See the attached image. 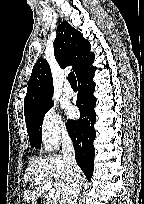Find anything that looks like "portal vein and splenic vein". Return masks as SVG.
I'll return each instance as SVG.
<instances>
[{
	"label": "portal vein and splenic vein",
	"mask_w": 144,
	"mask_h": 204,
	"mask_svg": "<svg viewBox=\"0 0 144 204\" xmlns=\"http://www.w3.org/2000/svg\"><path fill=\"white\" fill-rule=\"evenodd\" d=\"M41 179H42L41 177H37L35 178V182L38 183L40 182ZM44 189L46 191H49L48 195L50 199L57 200L60 198L59 191H57L56 189H52V183L50 181L47 180L44 181Z\"/></svg>",
	"instance_id": "portal-vein-and-splenic-vein-1"
}]
</instances>
